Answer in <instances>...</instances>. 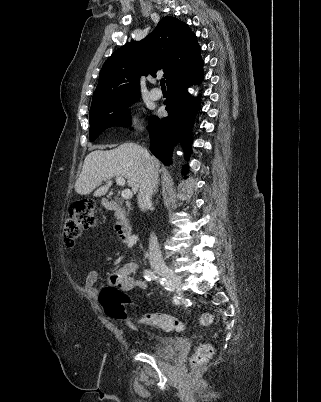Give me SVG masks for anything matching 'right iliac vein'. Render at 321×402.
I'll list each match as a JSON object with an SVG mask.
<instances>
[{
  "mask_svg": "<svg viewBox=\"0 0 321 402\" xmlns=\"http://www.w3.org/2000/svg\"><path fill=\"white\" fill-rule=\"evenodd\" d=\"M155 270L162 276L166 277L168 281L171 282L173 289L179 294L182 295L181 291V279L180 277L168 266H157Z\"/></svg>",
  "mask_w": 321,
  "mask_h": 402,
  "instance_id": "right-iliac-vein-1",
  "label": "right iliac vein"
}]
</instances>
